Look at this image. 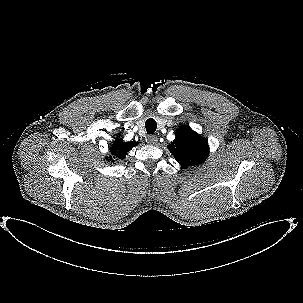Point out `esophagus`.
Instances as JSON below:
<instances>
[{
  "label": "esophagus",
  "instance_id": "34e87169",
  "mask_svg": "<svg viewBox=\"0 0 303 303\" xmlns=\"http://www.w3.org/2000/svg\"><path fill=\"white\" fill-rule=\"evenodd\" d=\"M147 142H148L149 144H151V145H155V144L158 143V138H157L156 135H149V136L147 137Z\"/></svg>",
  "mask_w": 303,
  "mask_h": 303
}]
</instances>
